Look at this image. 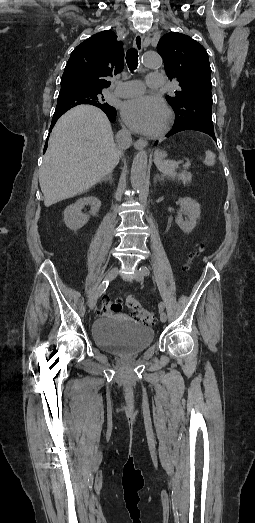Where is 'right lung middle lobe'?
<instances>
[{"label":"right lung middle lobe","instance_id":"dd1d6c3e","mask_svg":"<svg viewBox=\"0 0 255 523\" xmlns=\"http://www.w3.org/2000/svg\"><path fill=\"white\" fill-rule=\"evenodd\" d=\"M102 92L76 90V89H65L60 90L58 96L59 102H92L98 101L103 98Z\"/></svg>","mask_w":255,"mask_h":523}]
</instances>
